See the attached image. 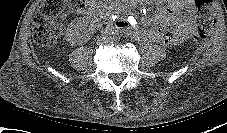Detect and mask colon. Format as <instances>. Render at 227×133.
I'll use <instances>...</instances> for the list:
<instances>
[{"mask_svg": "<svg viewBox=\"0 0 227 133\" xmlns=\"http://www.w3.org/2000/svg\"><path fill=\"white\" fill-rule=\"evenodd\" d=\"M199 13L196 40H205L215 23L214 0H194ZM92 7L87 0H43L33 17V38L42 46L58 41L63 20L69 11H85Z\"/></svg>", "mask_w": 227, "mask_h": 133, "instance_id": "5ec220e1", "label": "colon"}]
</instances>
